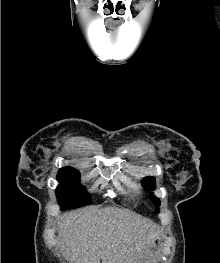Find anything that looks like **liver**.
<instances>
[{
  "label": "liver",
  "mask_w": 220,
  "mask_h": 263,
  "mask_svg": "<svg viewBox=\"0 0 220 263\" xmlns=\"http://www.w3.org/2000/svg\"><path fill=\"white\" fill-rule=\"evenodd\" d=\"M157 228L117 207H89L60 217L58 235L70 263H138Z\"/></svg>",
  "instance_id": "liver-1"
}]
</instances>
